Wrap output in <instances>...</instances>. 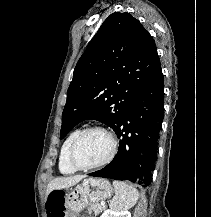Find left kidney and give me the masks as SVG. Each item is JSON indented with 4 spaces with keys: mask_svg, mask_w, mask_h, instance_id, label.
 <instances>
[{
    "mask_svg": "<svg viewBox=\"0 0 211 217\" xmlns=\"http://www.w3.org/2000/svg\"><path fill=\"white\" fill-rule=\"evenodd\" d=\"M101 217H131V214L129 211H114V210H106Z\"/></svg>",
    "mask_w": 211,
    "mask_h": 217,
    "instance_id": "1",
    "label": "left kidney"
}]
</instances>
